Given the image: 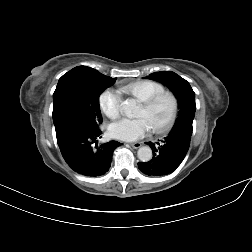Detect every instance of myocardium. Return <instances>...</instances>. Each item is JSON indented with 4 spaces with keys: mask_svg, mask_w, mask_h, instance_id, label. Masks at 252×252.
Returning <instances> with one entry per match:
<instances>
[{
    "mask_svg": "<svg viewBox=\"0 0 252 252\" xmlns=\"http://www.w3.org/2000/svg\"><path fill=\"white\" fill-rule=\"evenodd\" d=\"M164 96H168L172 101L171 113L168 120L165 122L164 125H162L159 128L151 129V132L153 134H158V135L165 134L172 129L176 121L178 110H179L178 98L173 92L164 90L159 93H156L155 95L151 96L149 99L142 102V106L145 107L146 109H149L153 107L155 103Z\"/></svg>",
    "mask_w": 252,
    "mask_h": 252,
    "instance_id": "1",
    "label": "myocardium"
}]
</instances>
